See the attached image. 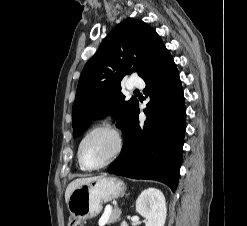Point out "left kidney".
<instances>
[{"instance_id": "1", "label": "left kidney", "mask_w": 247, "mask_h": 226, "mask_svg": "<svg viewBox=\"0 0 247 226\" xmlns=\"http://www.w3.org/2000/svg\"><path fill=\"white\" fill-rule=\"evenodd\" d=\"M136 211L147 220L148 226H164L167 207L163 193L155 188L144 190L136 201Z\"/></svg>"}]
</instances>
